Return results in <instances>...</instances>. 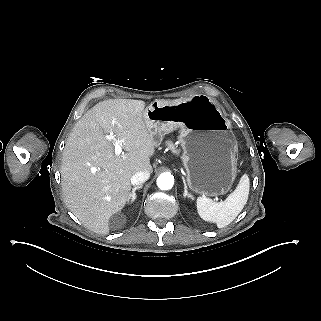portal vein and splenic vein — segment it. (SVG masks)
Listing matches in <instances>:
<instances>
[{"label": "portal vein and splenic vein", "instance_id": "18ae733b", "mask_svg": "<svg viewBox=\"0 0 321 321\" xmlns=\"http://www.w3.org/2000/svg\"><path fill=\"white\" fill-rule=\"evenodd\" d=\"M106 138L108 140H112L114 142V147H115V155L119 156L121 153H122V143L123 141L122 140H117L115 138V135L113 132H111L109 135L106 136ZM212 202L214 204H218L220 201L219 199L217 198V196H212Z\"/></svg>", "mask_w": 321, "mask_h": 321}]
</instances>
